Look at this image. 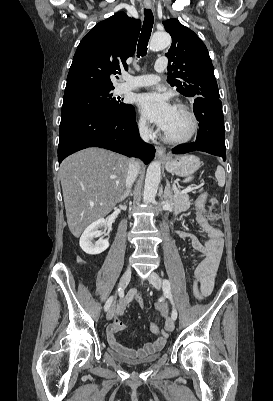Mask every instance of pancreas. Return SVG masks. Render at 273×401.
Segmentation results:
<instances>
[{
	"label": "pancreas",
	"instance_id": "cf45deb5",
	"mask_svg": "<svg viewBox=\"0 0 273 401\" xmlns=\"http://www.w3.org/2000/svg\"><path fill=\"white\" fill-rule=\"evenodd\" d=\"M171 201L174 203V215L182 213V211H187L190 207L189 194L187 192H176L171 196Z\"/></svg>",
	"mask_w": 273,
	"mask_h": 401
}]
</instances>
